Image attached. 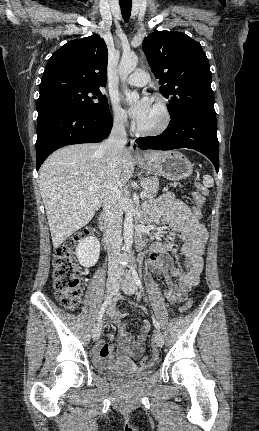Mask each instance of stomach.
<instances>
[{
    "label": "stomach",
    "instance_id": "stomach-1",
    "mask_svg": "<svg viewBox=\"0 0 259 431\" xmlns=\"http://www.w3.org/2000/svg\"><path fill=\"white\" fill-rule=\"evenodd\" d=\"M139 166L147 172L173 181L186 179L193 172V165L179 151H168L161 159L153 163L139 161Z\"/></svg>",
    "mask_w": 259,
    "mask_h": 431
}]
</instances>
